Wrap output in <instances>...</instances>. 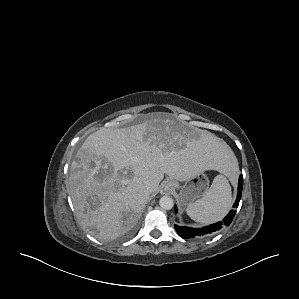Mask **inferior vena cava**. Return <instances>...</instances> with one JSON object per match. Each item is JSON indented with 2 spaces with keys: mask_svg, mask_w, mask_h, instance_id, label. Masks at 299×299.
I'll use <instances>...</instances> for the list:
<instances>
[{
  "mask_svg": "<svg viewBox=\"0 0 299 299\" xmlns=\"http://www.w3.org/2000/svg\"><path fill=\"white\" fill-rule=\"evenodd\" d=\"M145 187L148 191H151V183L150 182H145Z\"/></svg>",
  "mask_w": 299,
  "mask_h": 299,
  "instance_id": "602c4592",
  "label": "inferior vena cava"
}]
</instances>
